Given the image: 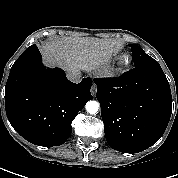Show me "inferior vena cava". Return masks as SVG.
I'll list each match as a JSON object with an SVG mask.
<instances>
[{"label": "inferior vena cava", "instance_id": "obj_1", "mask_svg": "<svg viewBox=\"0 0 178 178\" xmlns=\"http://www.w3.org/2000/svg\"><path fill=\"white\" fill-rule=\"evenodd\" d=\"M67 77L74 83H79L82 79L81 75L78 72H70Z\"/></svg>", "mask_w": 178, "mask_h": 178}]
</instances>
